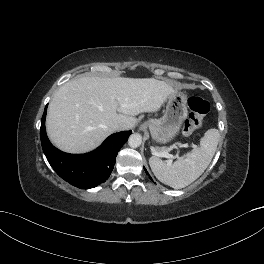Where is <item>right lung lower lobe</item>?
<instances>
[{
  "label": "right lung lower lobe",
  "instance_id": "98d812e1",
  "mask_svg": "<svg viewBox=\"0 0 264 264\" xmlns=\"http://www.w3.org/2000/svg\"><path fill=\"white\" fill-rule=\"evenodd\" d=\"M47 106L41 119V144L46 158L55 172L75 187L89 189L107 180L114 168L118 151L131 131L110 135L100 147L87 154H68L55 148L45 131Z\"/></svg>",
  "mask_w": 264,
  "mask_h": 264
}]
</instances>
